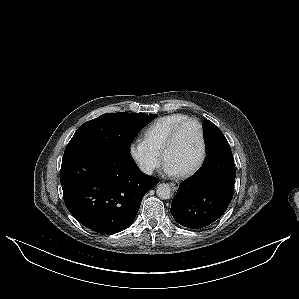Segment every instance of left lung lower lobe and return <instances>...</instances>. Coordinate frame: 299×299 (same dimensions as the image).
I'll return each mask as SVG.
<instances>
[{
  "label": "left lung lower lobe",
  "mask_w": 299,
  "mask_h": 299,
  "mask_svg": "<svg viewBox=\"0 0 299 299\" xmlns=\"http://www.w3.org/2000/svg\"><path fill=\"white\" fill-rule=\"evenodd\" d=\"M235 176L232 152L213 151L195 175L180 183L170 209L174 219L192 229L216 221L232 200Z\"/></svg>",
  "instance_id": "obj_1"
}]
</instances>
